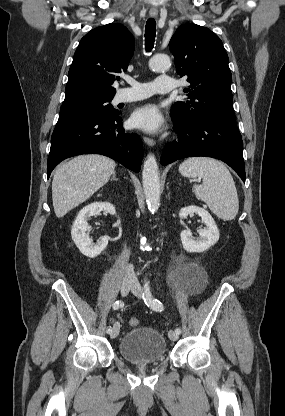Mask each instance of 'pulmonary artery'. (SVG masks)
I'll return each instance as SVG.
<instances>
[{"instance_id":"1","label":"pulmonary artery","mask_w":285,"mask_h":416,"mask_svg":"<svg viewBox=\"0 0 285 416\" xmlns=\"http://www.w3.org/2000/svg\"><path fill=\"white\" fill-rule=\"evenodd\" d=\"M130 87H121L116 93L113 103H126L144 99L149 96H156L158 93H167L178 85V81L170 76L160 75L152 83H140L131 79ZM153 84V87H141Z\"/></svg>"}]
</instances>
